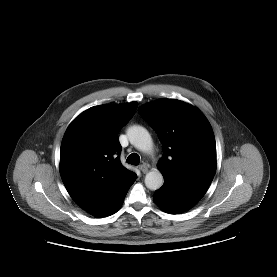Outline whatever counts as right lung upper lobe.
<instances>
[{"label":"right lung upper lobe","instance_id":"obj_1","mask_svg":"<svg viewBox=\"0 0 277 277\" xmlns=\"http://www.w3.org/2000/svg\"><path fill=\"white\" fill-rule=\"evenodd\" d=\"M136 109V102L94 106L67 128L61 143L60 174L82 209L102 204L134 175L120 162L118 132Z\"/></svg>","mask_w":277,"mask_h":277}]
</instances>
